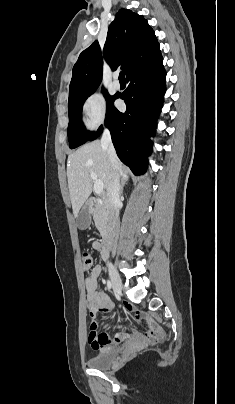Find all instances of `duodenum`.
<instances>
[{"instance_id": "410a0bca", "label": "duodenum", "mask_w": 235, "mask_h": 404, "mask_svg": "<svg viewBox=\"0 0 235 404\" xmlns=\"http://www.w3.org/2000/svg\"><path fill=\"white\" fill-rule=\"evenodd\" d=\"M99 205V200L98 199H91L90 200V208L93 211L97 206ZM112 243V235L111 234H106L103 237V252H104V257H108V249L110 248Z\"/></svg>"}]
</instances>
